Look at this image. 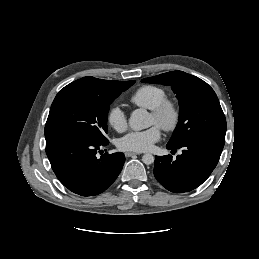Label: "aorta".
Here are the masks:
<instances>
[{"label":"aorta","instance_id":"762f6f07","mask_svg":"<svg viewBox=\"0 0 259 259\" xmlns=\"http://www.w3.org/2000/svg\"><path fill=\"white\" fill-rule=\"evenodd\" d=\"M129 126L134 131H140L151 126V118L149 113L145 109L134 110L129 118ZM154 156L150 153H146L142 157L144 164H152L154 162Z\"/></svg>","mask_w":259,"mask_h":259}]
</instances>
